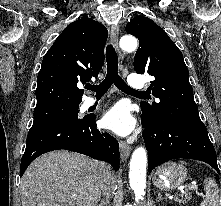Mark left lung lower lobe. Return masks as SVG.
Listing matches in <instances>:
<instances>
[{
	"label": "left lung lower lobe",
	"mask_w": 221,
	"mask_h": 206,
	"mask_svg": "<svg viewBox=\"0 0 221 206\" xmlns=\"http://www.w3.org/2000/svg\"><path fill=\"white\" fill-rule=\"evenodd\" d=\"M143 138L148 150V172L176 158H190L210 164L220 173L215 149L202 121H172L153 125L142 110Z\"/></svg>",
	"instance_id": "0a47b994"
}]
</instances>
